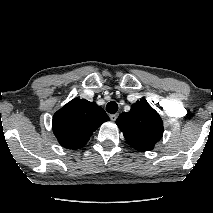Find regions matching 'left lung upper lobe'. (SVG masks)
<instances>
[{
  "instance_id": "1",
  "label": "left lung upper lobe",
  "mask_w": 213,
  "mask_h": 213,
  "mask_svg": "<svg viewBox=\"0 0 213 213\" xmlns=\"http://www.w3.org/2000/svg\"><path fill=\"white\" fill-rule=\"evenodd\" d=\"M116 124L127 143L141 152L152 150L164 131L161 117L145 100L137 101L129 112L121 113Z\"/></svg>"
}]
</instances>
